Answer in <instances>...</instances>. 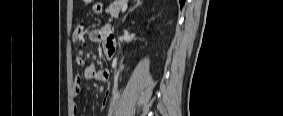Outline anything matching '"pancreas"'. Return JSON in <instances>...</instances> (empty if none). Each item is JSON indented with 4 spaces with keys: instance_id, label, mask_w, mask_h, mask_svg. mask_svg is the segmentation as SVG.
Returning <instances> with one entry per match:
<instances>
[{
    "instance_id": "cf45deb5",
    "label": "pancreas",
    "mask_w": 283,
    "mask_h": 116,
    "mask_svg": "<svg viewBox=\"0 0 283 116\" xmlns=\"http://www.w3.org/2000/svg\"><path fill=\"white\" fill-rule=\"evenodd\" d=\"M124 2L125 0H116L106 9V12L110 14L111 18H118Z\"/></svg>"
}]
</instances>
